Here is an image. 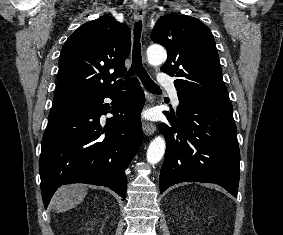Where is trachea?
I'll use <instances>...</instances> for the list:
<instances>
[{
  "instance_id": "1",
  "label": "trachea",
  "mask_w": 283,
  "mask_h": 235,
  "mask_svg": "<svg viewBox=\"0 0 283 235\" xmlns=\"http://www.w3.org/2000/svg\"><path fill=\"white\" fill-rule=\"evenodd\" d=\"M142 30L141 21L137 22L134 27V44H133V55H132V65L129 69L126 77L133 76L135 73L139 76L144 87L152 92L158 93L161 92L159 86L150 78L145 68L142 65L141 60V44H140V35Z\"/></svg>"
}]
</instances>
